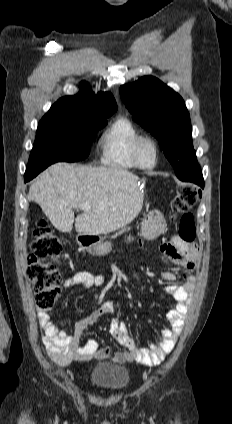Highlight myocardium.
Here are the masks:
<instances>
[{
  "label": "myocardium",
  "instance_id": "f54148a6",
  "mask_svg": "<svg viewBox=\"0 0 232 424\" xmlns=\"http://www.w3.org/2000/svg\"><path fill=\"white\" fill-rule=\"evenodd\" d=\"M143 142H149L151 143V145L153 146L154 149V157H153V161L150 165H143L142 162L140 161L139 158V147ZM132 157L135 161V164L137 165L138 168L143 169V170H149L152 169L156 166L157 162H158V158H159V145L158 142L156 141V139L150 135H141L139 136L132 147Z\"/></svg>",
  "mask_w": 232,
  "mask_h": 424
}]
</instances>
